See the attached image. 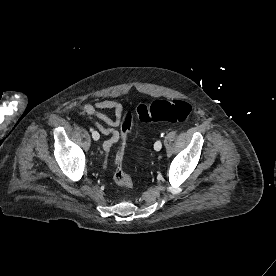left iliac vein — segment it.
Segmentation results:
<instances>
[{
  "label": "left iliac vein",
  "instance_id": "left-iliac-vein-1",
  "mask_svg": "<svg viewBox=\"0 0 276 276\" xmlns=\"http://www.w3.org/2000/svg\"><path fill=\"white\" fill-rule=\"evenodd\" d=\"M154 148L156 151H159L162 148V142L160 140H157L154 144Z\"/></svg>",
  "mask_w": 276,
  "mask_h": 276
}]
</instances>
